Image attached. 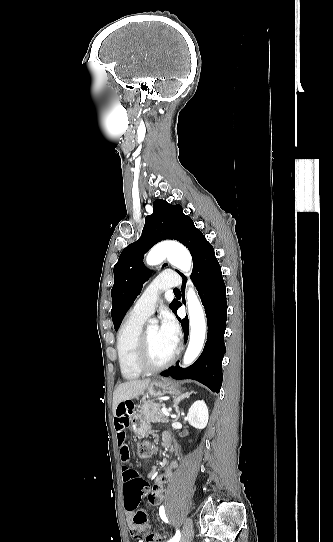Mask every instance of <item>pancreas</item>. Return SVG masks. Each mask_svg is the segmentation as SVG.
I'll return each mask as SVG.
<instances>
[{
  "mask_svg": "<svg viewBox=\"0 0 333 542\" xmlns=\"http://www.w3.org/2000/svg\"><path fill=\"white\" fill-rule=\"evenodd\" d=\"M161 408H166V404L163 402H143L139 414H137L140 420L144 422H162V424H168V420L165 414H162Z\"/></svg>",
  "mask_w": 333,
  "mask_h": 542,
  "instance_id": "obj_1",
  "label": "pancreas"
}]
</instances>
